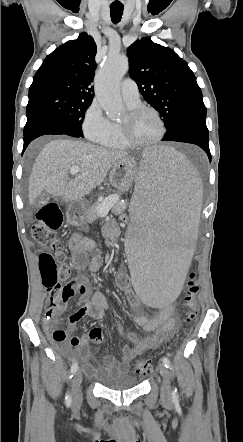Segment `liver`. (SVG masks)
<instances>
[{
	"mask_svg": "<svg viewBox=\"0 0 243 442\" xmlns=\"http://www.w3.org/2000/svg\"><path fill=\"white\" fill-rule=\"evenodd\" d=\"M126 157V152L79 140H52L42 148L33 165L29 202L33 204L43 191L62 196L64 202L78 201L100 185L110 169ZM73 166L79 167V175L68 180Z\"/></svg>",
	"mask_w": 243,
	"mask_h": 442,
	"instance_id": "6515ba94",
	"label": "liver"
}]
</instances>
